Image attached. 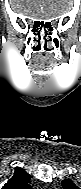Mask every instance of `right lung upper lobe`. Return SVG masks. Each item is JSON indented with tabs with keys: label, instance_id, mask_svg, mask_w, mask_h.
Returning a JSON list of instances; mask_svg holds the SVG:
<instances>
[{
	"label": "right lung upper lobe",
	"instance_id": "right-lung-upper-lobe-1",
	"mask_svg": "<svg viewBox=\"0 0 81 189\" xmlns=\"http://www.w3.org/2000/svg\"><path fill=\"white\" fill-rule=\"evenodd\" d=\"M30 175L20 167L15 168L14 176L2 187V189H31L28 184Z\"/></svg>",
	"mask_w": 81,
	"mask_h": 189
}]
</instances>
